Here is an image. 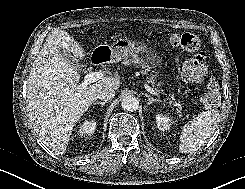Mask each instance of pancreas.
<instances>
[{"label": "pancreas", "instance_id": "cf45deb5", "mask_svg": "<svg viewBox=\"0 0 245 189\" xmlns=\"http://www.w3.org/2000/svg\"><path fill=\"white\" fill-rule=\"evenodd\" d=\"M123 64L124 65H129V64L137 65V64H140L142 66L143 75L147 76L150 73V78H149L148 82L152 84V86L155 88L156 91H160L159 85H157V87L155 86L156 75L151 72V67H150V65L148 64V62L146 60H144L143 58H140L137 55H135L131 59H127L126 58L124 60ZM171 98L173 99V96H171Z\"/></svg>", "mask_w": 245, "mask_h": 189}]
</instances>
